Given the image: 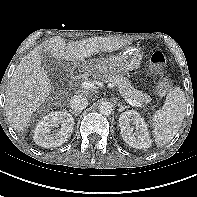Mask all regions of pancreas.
<instances>
[{
    "mask_svg": "<svg viewBox=\"0 0 197 197\" xmlns=\"http://www.w3.org/2000/svg\"><path fill=\"white\" fill-rule=\"evenodd\" d=\"M93 79L96 81H104L106 83L112 84L113 86H116L119 89V92L121 93L122 97L124 98L140 101L142 103H148L151 101L149 95L135 89L131 85V83L126 79V77L123 76V74L104 73L102 75L99 73H95L93 74Z\"/></svg>",
    "mask_w": 197,
    "mask_h": 197,
    "instance_id": "cf45deb5",
    "label": "pancreas"
}]
</instances>
